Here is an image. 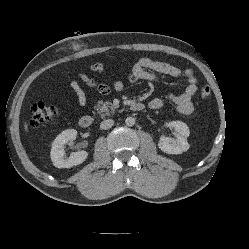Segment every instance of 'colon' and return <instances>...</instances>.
Masks as SVG:
<instances>
[{
  "instance_id": "1",
  "label": "colon",
  "mask_w": 249,
  "mask_h": 249,
  "mask_svg": "<svg viewBox=\"0 0 249 249\" xmlns=\"http://www.w3.org/2000/svg\"><path fill=\"white\" fill-rule=\"evenodd\" d=\"M203 99H208L211 95L210 88L205 85L200 90ZM58 115V109L53 105L38 102L32 105L29 117V126L32 129L38 128L43 123L53 120Z\"/></svg>"
}]
</instances>
